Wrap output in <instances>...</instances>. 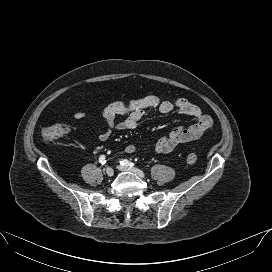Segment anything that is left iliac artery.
Segmentation results:
<instances>
[{
    "instance_id": "1",
    "label": "left iliac artery",
    "mask_w": 272,
    "mask_h": 272,
    "mask_svg": "<svg viewBox=\"0 0 272 272\" xmlns=\"http://www.w3.org/2000/svg\"><path fill=\"white\" fill-rule=\"evenodd\" d=\"M120 164L122 166H129V167H133L134 166V163L130 162L129 160L127 159H123L122 161H120Z\"/></svg>"
}]
</instances>
